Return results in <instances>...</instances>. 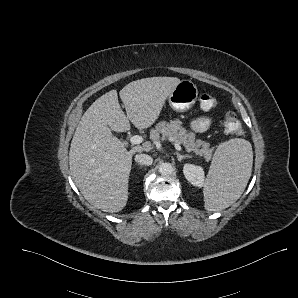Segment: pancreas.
Returning <instances> with one entry per match:
<instances>
[{"label": "pancreas", "mask_w": 298, "mask_h": 298, "mask_svg": "<svg viewBox=\"0 0 298 298\" xmlns=\"http://www.w3.org/2000/svg\"><path fill=\"white\" fill-rule=\"evenodd\" d=\"M174 138L175 142L184 146L187 152L201 156L206 162L211 161L214 147L209 142L196 138V134L188 131L182 126V121L174 119L170 121H160L155 128L150 131V138L153 141H164Z\"/></svg>", "instance_id": "pancreas-1"}]
</instances>
